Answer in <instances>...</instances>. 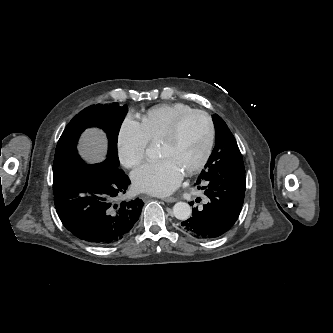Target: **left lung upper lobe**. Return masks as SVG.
I'll list each match as a JSON object with an SVG mask.
<instances>
[{
    "label": "left lung upper lobe",
    "mask_w": 333,
    "mask_h": 333,
    "mask_svg": "<svg viewBox=\"0 0 333 333\" xmlns=\"http://www.w3.org/2000/svg\"><path fill=\"white\" fill-rule=\"evenodd\" d=\"M216 145L203 172H215L222 177L245 175L242 155L226 123L217 114L212 116Z\"/></svg>",
    "instance_id": "obj_1"
}]
</instances>
